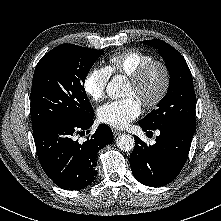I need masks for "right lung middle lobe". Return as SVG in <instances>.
<instances>
[{
	"instance_id": "1",
	"label": "right lung middle lobe",
	"mask_w": 221,
	"mask_h": 221,
	"mask_svg": "<svg viewBox=\"0 0 221 221\" xmlns=\"http://www.w3.org/2000/svg\"><path fill=\"white\" fill-rule=\"evenodd\" d=\"M103 53V50L62 44L41 58L30 94L33 130L56 121H81L94 114L84 82Z\"/></svg>"
}]
</instances>
